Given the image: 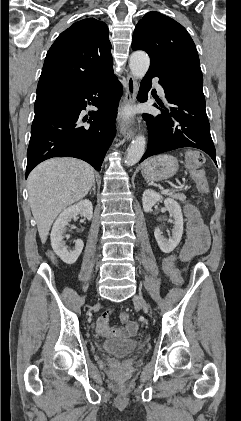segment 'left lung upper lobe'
Returning <instances> with one entry per match:
<instances>
[{"mask_svg": "<svg viewBox=\"0 0 241 421\" xmlns=\"http://www.w3.org/2000/svg\"><path fill=\"white\" fill-rule=\"evenodd\" d=\"M133 50H144L150 66L183 78L203 82L195 44L186 29L159 12L147 13L137 23L132 41Z\"/></svg>", "mask_w": 241, "mask_h": 421, "instance_id": "obj_1", "label": "left lung upper lobe"}]
</instances>
